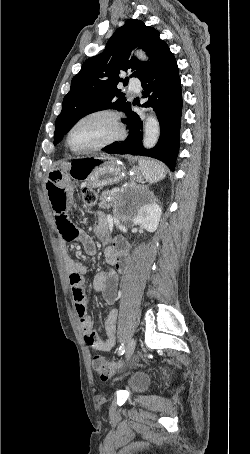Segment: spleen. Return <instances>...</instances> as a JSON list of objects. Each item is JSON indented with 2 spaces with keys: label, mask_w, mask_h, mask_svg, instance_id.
Here are the masks:
<instances>
[{
  "label": "spleen",
  "mask_w": 250,
  "mask_h": 454,
  "mask_svg": "<svg viewBox=\"0 0 250 454\" xmlns=\"http://www.w3.org/2000/svg\"><path fill=\"white\" fill-rule=\"evenodd\" d=\"M139 170L141 175L149 183H156L166 175L164 165L151 159H139Z\"/></svg>",
  "instance_id": "3e777b00"
}]
</instances>
